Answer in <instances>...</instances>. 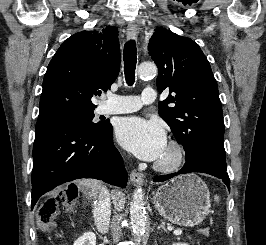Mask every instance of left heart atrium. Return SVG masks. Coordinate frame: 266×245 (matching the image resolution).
<instances>
[{
  "mask_svg": "<svg viewBox=\"0 0 266 245\" xmlns=\"http://www.w3.org/2000/svg\"><path fill=\"white\" fill-rule=\"evenodd\" d=\"M115 130L118 142L143 160H158L167 146L165 131L154 120L125 117L117 122Z\"/></svg>",
  "mask_w": 266,
  "mask_h": 245,
  "instance_id": "left-heart-atrium-1",
  "label": "left heart atrium"
}]
</instances>
